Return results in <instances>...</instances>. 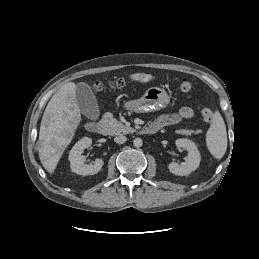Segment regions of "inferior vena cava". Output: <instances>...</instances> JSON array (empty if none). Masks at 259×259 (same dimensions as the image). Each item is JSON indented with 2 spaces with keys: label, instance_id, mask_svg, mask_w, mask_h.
I'll return each instance as SVG.
<instances>
[{
  "label": "inferior vena cava",
  "instance_id": "602c4592",
  "mask_svg": "<svg viewBox=\"0 0 259 259\" xmlns=\"http://www.w3.org/2000/svg\"><path fill=\"white\" fill-rule=\"evenodd\" d=\"M126 140H127V138H126L125 136H123V135H118V136H116V137L114 138V141H115L116 143H118V144H123V143L126 142Z\"/></svg>",
  "mask_w": 259,
  "mask_h": 259
}]
</instances>
